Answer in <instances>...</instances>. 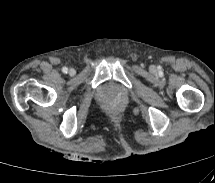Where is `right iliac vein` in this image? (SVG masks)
Segmentation results:
<instances>
[{"mask_svg": "<svg viewBox=\"0 0 215 183\" xmlns=\"http://www.w3.org/2000/svg\"><path fill=\"white\" fill-rule=\"evenodd\" d=\"M75 73H76L75 69L71 68V69L69 70V74H70L71 76L75 75Z\"/></svg>", "mask_w": 215, "mask_h": 183, "instance_id": "obj_1", "label": "right iliac vein"}]
</instances>
